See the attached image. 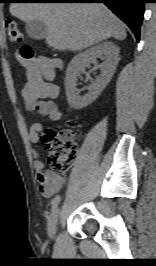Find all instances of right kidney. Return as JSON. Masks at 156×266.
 I'll return each instance as SVG.
<instances>
[{
  "instance_id": "1",
  "label": "right kidney",
  "mask_w": 156,
  "mask_h": 266,
  "mask_svg": "<svg viewBox=\"0 0 156 266\" xmlns=\"http://www.w3.org/2000/svg\"><path fill=\"white\" fill-rule=\"evenodd\" d=\"M97 58L103 61L102 64H98ZM118 61L119 48L110 41H105L75 55L67 67L65 78L69 106L73 109H82L95 101L110 82ZM90 64H94V69H100V74L89 86L88 93L80 96L79 90L76 88L77 79L87 67H90Z\"/></svg>"
}]
</instances>
